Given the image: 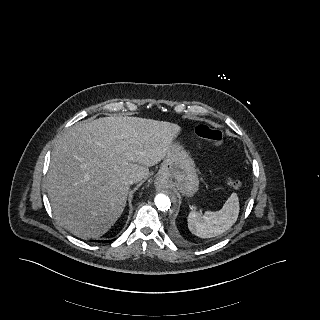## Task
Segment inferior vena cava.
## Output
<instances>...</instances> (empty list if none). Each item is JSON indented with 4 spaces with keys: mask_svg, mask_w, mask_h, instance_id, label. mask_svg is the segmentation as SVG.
I'll return each instance as SVG.
<instances>
[{
    "mask_svg": "<svg viewBox=\"0 0 320 320\" xmlns=\"http://www.w3.org/2000/svg\"><path fill=\"white\" fill-rule=\"evenodd\" d=\"M128 182H129L130 184H132V183H134V182H135V180H134V178H133V177H129V178H128Z\"/></svg>",
    "mask_w": 320,
    "mask_h": 320,
    "instance_id": "inferior-vena-cava-1",
    "label": "inferior vena cava"
}]
</instances>
